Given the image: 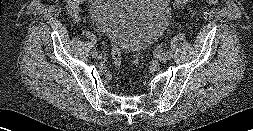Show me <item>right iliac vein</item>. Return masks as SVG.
<instances>
[{"mask_svg":"<svg viewBox=\"0 0 253 131\" xmlns=\"http://www.w3.org/2000/svg\"><path fill=\"white\" fill-rule=\"evenodd\" d=\"M91 55H92L93 57H99V54H98V52H96V53H93V52L91 51Z\"/></svg>","mask_w":253,"mask_h":131,"instance_id":"obj_1","label":"right iliac vein"}]
</instances>
